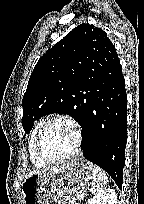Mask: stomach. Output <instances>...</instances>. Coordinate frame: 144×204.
Masks as SVG:
<instances>
[{"label": "stomach", "mask_w": 144, "mask_h": 204, "mask_svg": "<svg viewBox=\"0 0 144 204\" xmlns=\"http://www.w3.org/2000/svg\"><path fill=\"white\" fill-rule=\"evenodd\" d=\"M92 164L75 159L27 177L22 183L24 204H67L92 183Z\"/></svg>", "instance_id": "1"}]
</instances>
